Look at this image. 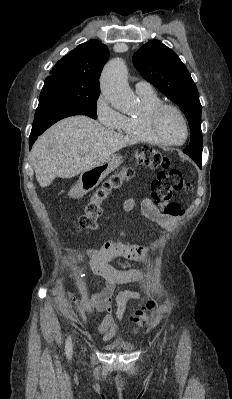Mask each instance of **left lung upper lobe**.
<instances>
[{"label": "left lung upper lobe", "instance_id": "obj_1", "mask_svg": "<svg viewBox=\"0 0 232 399\" xmlns=\"http://www.w3.org/2000/svg\"><path fill=\"white\" fill-rule=\"evenodd\" d=\"M133 64L142 77L176 103L188 119L191 142L183 152L197 164L202 161V106L194 81L173 50L159 40H151L134 55Z\"/></svg>", "mask_w": 232, "mask_h": 399}]
</instances>
